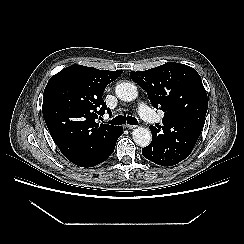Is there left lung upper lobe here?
<instances>
[{
    "label": "left lung upper lobe",
    "mask_w": 244,
    "mask_h": 244,
    "mask_svg": "<svg viewBox=\"0 0 244 244\" xmlns=\"http://www.w3.org/2000/svg\"><path fill=\"white\" fill-rule=\"evenodd\" d=\"M148 94L155 108L164 112L163 126H150V147L161 166H173L192 152L203 128L208 99L201 77L190 66L167 62L161 66L130 72Z\"/></svg>",
    "instance_id": "1"
}]
</instances>
